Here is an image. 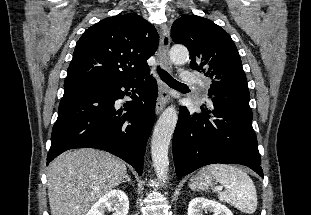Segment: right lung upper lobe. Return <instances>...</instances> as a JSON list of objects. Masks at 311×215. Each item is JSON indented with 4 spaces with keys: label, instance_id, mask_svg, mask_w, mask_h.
<instances>
[{
    "label": "right lung upper lobe",
    "instance_id": "1",
    "mask_svg": "<svg viewBox=\"0 0 311 215\" xmlns=\"http://www.w3.org/2000/svg\"><path fill=\"white\" fill-rule=\"evenodd\" d=\"M158 44L154 26L135 13L105 18L80 37L64 86L97 79L145 78L150 70L147 59Z\"/></svg>",
    "mask_w": 311,
    "mask_h": 215
}]
</instances>
